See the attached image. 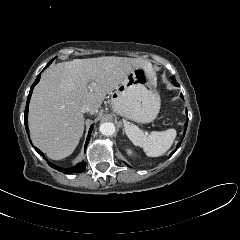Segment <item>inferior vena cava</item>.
<instances>
[{"mask_svg": "<svg viewBox=\"0 0 240 240\" xmlns=\"http://www.w3.org/2000/svg\"><path fill=\"white\" fill-rule=\"evenodd\" d=\"M82 113H85V112H90L91 111V108L88 106V105H84L83 107H82Z\"/></svg>", "mask_w": 240, "mask_h": 240, "instance_id": "inferior-vena-cava-1", "label": "inferior vena cava"}]
</instances>
